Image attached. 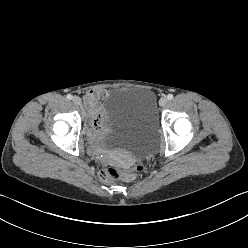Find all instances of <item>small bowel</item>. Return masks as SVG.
<instances>
[{"label": "small bowel", "instance_id": "obj_1", "mask_svg": "<svg viewBox=\"0 0 248 248\" xmlns=\"http://www.w3.org/2000/svg\"><path fill=\"white\" fill-rule=\"evenodd\" d=\"M107 95L108 92L105 90L89 91L86 94V106L89 114L88 126L93 132L99 133L105 128L106 117L99 101Z\"/></svg>", "mask_w": 248, "mask_h": 248}]
</instances>
